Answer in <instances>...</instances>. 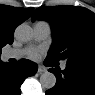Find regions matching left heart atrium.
Here are the masks:
<instances>
[{
	"label": "left heart atrium",
	"instance_id": "left-heart-atrium-1",
	"mask_svg": "<svg viewBox=\"0 0 95 95\" xmlns=\"http://www.w3.org/2000/svg\"><path fill=\"white\" fill-rule=\"evenodd\" d=\"M39 55H40V51H39V49H37V48H30V49L28 50V56H29L31 59L36 60V59L39 58Z\"/></svg>",
	"mask_w": 95,
	"mask_h": 95
}]
</instances>
